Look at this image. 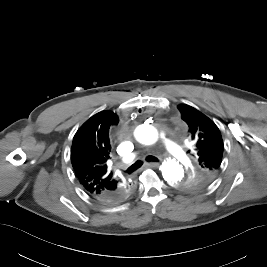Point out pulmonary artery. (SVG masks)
<instances>
[{
	"mask_svg": "<svg viewBox=\"0 0 267 267\" xmlns=\"http://www.w3.org/2000/svg\"><path fill=\"white\" fill-rule=\"evenodd\" d=\"M159 140H160L162 147L165 149V151L168 154H170L174 157H177V158H180L183 156V152H182L181 148L178 147L176 144H174L172 141L165 138L164 135L161 134L159 136ZM135 157H136V154L132 153L126 157L125 162L130 163L135 159Z\"/></svg>",
	"mask_w": 267,
	"mask_h": 267,
	"instance_id": "1",
	"label": "pulmonary artery"
}]
</instances>
